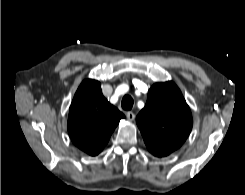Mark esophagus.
Returning a JSON list of instances; mask_svg holds the SVG:
<instances>
[{"label":"esophagus","mask_w":245,"mask_h":195,"mask_svg":"<svg viewBox=\"0 0 245 195\" xmlns=\"http://www.w3.org/2000/svg\"><path fill=\"white\" fill-rule=\"evenodd\" d=\"M126 117L129 121H133L135 119V114L131 111L127 112Z\"/></svg>","instance_id":"esophagus-1"}]
</instances>
